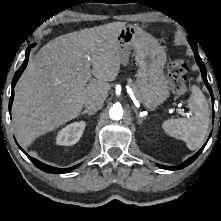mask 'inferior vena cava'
Here are the masks:
<instances>
[{
    "label": "inferior vena cava",
    "mask_w": 221,
    "mask_h": 221,
    "mask_svg": "<svg viewBox=\"0 0 221 221\" xmlns=\"http://www.w3.org/2000/svg\"><path fill=\"white\" fill-rule=\"evenodd\" d=\"M104 99L100 97H91L85 102V107L90 111H98L103 107Z\"/></svg>",
    "instance_id": "1"
}]
</instances>
